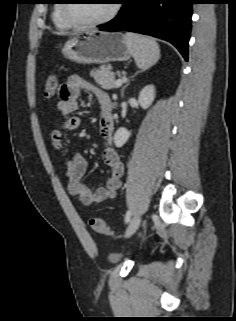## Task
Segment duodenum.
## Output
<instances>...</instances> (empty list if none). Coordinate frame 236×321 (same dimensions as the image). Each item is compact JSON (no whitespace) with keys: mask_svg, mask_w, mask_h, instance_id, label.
Masks as SVG:
<instances>
[{"mask_svg":"<svg viewBox=\"0 0 236 321\" xmlns=\"http://www.w3.org/2000/svg\"><path fill=\"white\" fill-rule=\"evenodd\" d=\"M115 106V102L111 100L108 105L109 111L112 112L115 109Z\"/></svg>","mask_w":236,"mask_h":321,"instance_id":"410a0bca","label":"duodenum"}]
</instances>
